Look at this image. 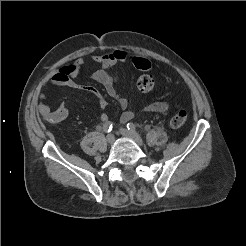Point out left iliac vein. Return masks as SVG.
<instances>
[{"label":"left iliac vein","mask_w":246,"mask_h":246,"mask_svg":"<svg viewBox=\"0 0 246 246\" xmlns=\"http://www.w3.org/2000/svg\"><path fill=\"white\" fill-rule=\"evenodd\" d=\"M119 132L124 137L130 138L133 141H135L139 146L143 145V141H142L141 137L136 132H131L125 128H120Z\"/></svg>","instance_id":"obj_1"}]
</instances>
